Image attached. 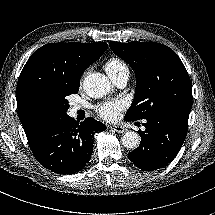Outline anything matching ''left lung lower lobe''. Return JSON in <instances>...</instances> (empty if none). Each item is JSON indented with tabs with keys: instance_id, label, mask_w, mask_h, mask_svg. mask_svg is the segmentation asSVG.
<instances>
[{
	"instance_id": "0a47b994",
	"label": "left lung lower lobe",
	"mask_w": 215,
	"mask_h": 215,
	"mask_svg": "<svg viewBox=\"0 0 215 215\" xmlns=\"http://www.w3.org/2000/svg\"><path fill=\"white\" fill-rule=\"evenodd\" d=\"M189 113L165 112L146 118L143 124L145 131H138L141 136L140 146L130 152L128 158L145 171L166 166L178 154L185 140Z\"/></svg>"
}]
</instances>
